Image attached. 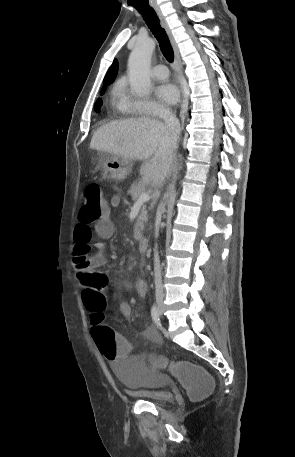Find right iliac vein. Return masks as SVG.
<instances>
[{
  "label": "right iliac vein",
  "instance_id": "63e3f726",
  "mask_svg": "<svg viewBox=\"0 0 295 457\" xmlns=\"http://www.w3.org/2000/svg\"><path fill=\"white\" fill-rule=\"evenodd\" d=\"M157 305H158L159 312L162 313L163 312V303H162V301L158 300L157 301Z\"/></svg>",
  "mask_w": 295,
  "mask_h": 457
}]
</instances>
